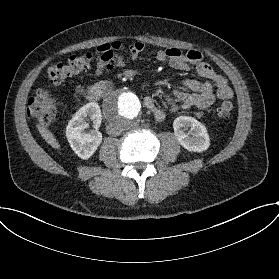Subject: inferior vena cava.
<instances>
[{
	"mask_svg": "<svg viewBox=\"0 0 279 279\" xmlns=\"http://www.w3.org/2000/svg\"><path fill=\"white\" fill-rule=\"evenodd\" d=\"M107 133L110 136H118L121 135L123 132V128L117 124L110 123L106 126Z\"/></svg>",
	"mask_w": 279,
	"mask_h": 279,
	"instance_id": "inferior-vena-cava-1",
	"label": "inferior vena cava"
}]
</instances>
